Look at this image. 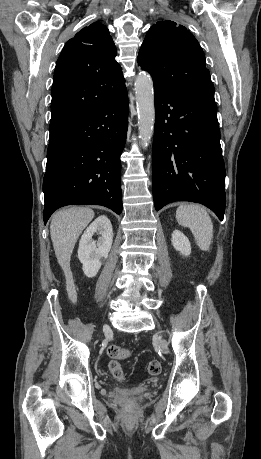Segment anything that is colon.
<instances>
[{
  "label": "colon",
  "mask_w": 261,
  "mask_h": 459,
  "mask_svg": "<svg viewBox=\"0 0 261 459\" xmlns=\"http://www.w3.org/2000/svg\"><path fill=\"white\" fill-rule=\"evenodd\" d=\"M107 355L110 358L108 368L111 374L118 380L124 379V373L121 364L118 360L129 357L130 351L118 345H111L107 348ZM148 372L151 375H158L161 372V363L157 360H152L148 364Z\"/></svg>",
  "instance_id": "1"
}]
</instances>
